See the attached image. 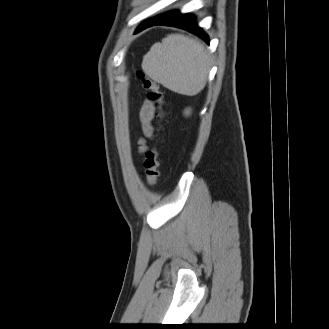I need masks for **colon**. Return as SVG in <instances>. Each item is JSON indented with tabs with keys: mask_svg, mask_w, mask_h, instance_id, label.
<instances>
[{
	"mask_svg": "<svg viewBox=\"0 0 329 329\" xmlns=\"http://www.w3.org/2000/svg\"><path fill=\"white\" fill-rule=\"evenodd\" d=\"M137 77L144 90L147 91V99L154 109V122L152 129L155 132L154 143L145 153L144 168L148 185L153 187L157 184L160 175V153L159 143L160 134L163 130L164 113V96L157 82L151 79L142 70L137 71Z\"/></svg>",
	"mask_w": 329,
	"mask_h": 329,
	"instance_id": "1",
	"label": "colon"
}]
</instances>
